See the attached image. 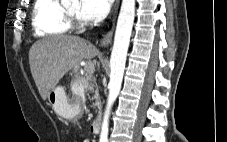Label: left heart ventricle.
<instances>
[{
  "label": "left heart ventricle",
  "instance_id": "b2bd125f",
  "mask_svg": "<svg viewBox=\"0 0 227 142\" xmlns=\"http://www.w3.org/2000/svg\"><path fill=\"white\" fill-rule=\"evenodd\" d=\"M67 9H68L70 12H72V13H74V14L80 16V13H79V2H78V0H75L74 2H72V3L67 7ZM80 17H81V16H80Z\"/></svg>",
  "mask_w": 227,
  "mask_h": 142
}]
</instances>
